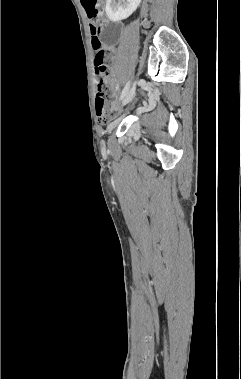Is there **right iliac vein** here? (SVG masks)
<instances>
[{
	"instance_id": "63e3f726",
	"label": "right iliac vein",
	"mask_w": 241,
	"mask_h": 379,
	"mask_svg": "<svg viewBox=\"0 0 241 379\" xmlns=\"http://www.w3.org/2000/svg\"><path fill=\"white\" fill-rule=\"evenodd\" d=\"M135 83L133 84V86L131 87V89L127 92V94L124 96V98L122 99V103H121V106H125L127 105L134 97V94H135Z\"/></svg>"
}]
</instances>
